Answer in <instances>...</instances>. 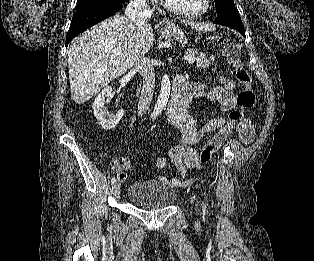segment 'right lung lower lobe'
Returning a JSON list of instances; mask_svg holds the SVG:
<instances>
[{
  "mask_svg": "<svg viewBox=\"0 0 314 261\" xmlns=\"http://www.w3.org/2000/svg\"><path fill=\"white\" fill-rule=\"evenodd\" d=\"M127 1H111L76 12L67 33L66 47L78 34L119 11Z\"/></svg>",
  "mask_w": 314,
  "mask_h": 261,
  "instance_id": "98d812e1",
  "label": "right lung lower lobe"
}]
</instances>
